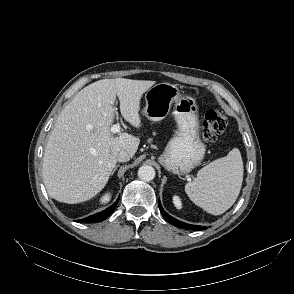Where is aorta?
<instances>
[{
    "label": "aorta",
    "mask_w": 294,
    "mask_h": 294,
    "mask_svg": "<svg viewBox=\"0 0 294 294\" xmlns=\"http://www.w3.org/2000/svg\"><path fill=\"white\" fill-rule=\"evenodd\" d=\"M138 177L145 182L152 181L155 177V169L150 165H143L138 169Z\"/></svg>",
    "instance_id": "obj_1"
}]
</instances>
